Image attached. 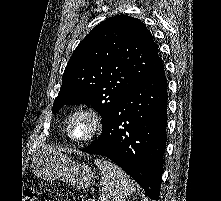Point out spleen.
<instances>
[{
    "label": "spleen",
    "instance_id": "3e777b00",
    "mask_svg": "<svg viewBox=\"0 0 221 201\" xmlns=\"http://www.w3.org/2000/svg\"><path fill=\"white\" fill-rule=\"evenodd\" d=\"M95 165L101 172L100 201H125L135 192L133 181L119 166L106 159H96Z\"/></svg>",
    "mask_w": 221,
    "mask_h": 201
}]
</instances>
